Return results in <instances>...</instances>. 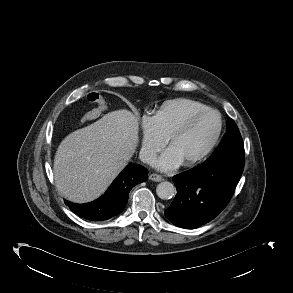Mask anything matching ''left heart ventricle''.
Returning a JSON list of instances; mask_svg holds the SVG:
<instances>
[{
  "instance_id": "left-heart-ventricle-1",
  "label": "left heart ventricle",
  "mask_w": 293,
  "mask_h": 293,
  "mask_svg": "<svg viewBox=\"0 0 293 293\" xmlns=\"http://www.w3.org/2000/svg\"><path fill=\"white\" fill-rule=\"evenodd\" d=\"M218 127V119L214 114H206L198 118L181 136L174 139L169 148L183 162L200 154L214 137Z\"/></svg>"
}]
</instances>
